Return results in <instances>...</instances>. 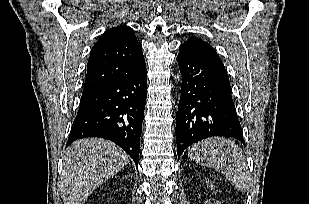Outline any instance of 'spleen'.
I'll return each mask as SVG.
<instances>
[{
	"label": "spleen",
	"instance_id": "obj_1",
	"mask_svg": "<svg viewBox=\"0 0 309 204\" xmlns=\"http://www.w3.org/2000/svg\"><path fill=\"white\" fill-rule=\"evenodd\" d=\"M188 156L197 165L221 171L238 191L248 189V166L241 148L234 141L224 137L206 139L191 146Z\"/></svg>",
	"mask_w": 309,
	"mask_h": 204
}]
</instances>
